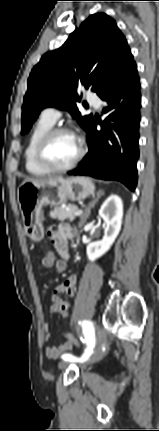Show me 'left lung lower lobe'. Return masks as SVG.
<instances>
[{"instance_id":"left-lung-lower-lobe-1","label":"left lung lower lobe","mask_w":159,"mask_h":431,"mask_svg":"<svg viewBox=\"0 0 159 431\" xmlns=\"http://www.w3.org/2000/svg\"><path fill=\"white\" fill-rule=\"evenodd\" d=\"M100 98L106 102L102 129L97 131L96 121H92L86 130L89 151L79 167L68 174L117 180L134 191L138 180L141 107L136 63L132 62Z\"/></svg>"}]
</instances>
